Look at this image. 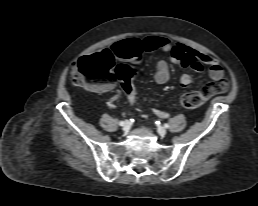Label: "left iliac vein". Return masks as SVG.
I'll list each match as a JSON object with an SVG mask.
<instances>
[{
	"label": "left iliac vein",
	"instance_id": "1",
	"mask_svg": "<svg viewBox=\"0 0 258 206\" xmlns=\"http://www.w3.org/2000/svg\"><path fill=\"white\" fill-rule=\"evenodd\" d=\"M157 131L161 136H164L166 134V129L162 126L158 127Z\"/></svg>",
	"mask_w": 258,
	"mask_h": 206
}]
</instances>
